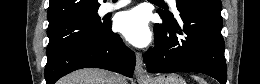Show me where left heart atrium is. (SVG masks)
Returning a JSON list of instances; mask_svg holds the SVG:
<instances>
[{"label": "left heart atrium", "mask_w": 260, "mask_h": 84, "mask_svg": "<svg viewBox=\"0 0 260 84\" xmlns=\"http://www.w3.org/2000/svg\"><path fill=\"white\" fill-rule=\"evenodd\" d=\"M115 28L130 44L136 47H144L151 40L148 17L139 8L120 13L116 18Z\"/></svg>", "instance_id": "obj_1"}]
</instances>
